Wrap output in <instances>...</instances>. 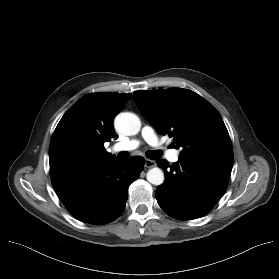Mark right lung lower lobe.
Returning a JSON list of instances; mask_svg holds the SVG:
<instances>
[{
	"instance_id": "right-lung-lower-lobe-1",
	"label": "right lung lower lobe",
	"mask_w": 279,
	"mask_h": 279,
	"mask_svg": "<svg viewBox=\"0 0 279 279\" xmlns=\"http://www.w3.org/2000/svg\"><path fill=\"white\" fill-rule=\"evenodd\" d=\"M145 160L133 156L114 159L88 171L52 181L55 192L78 220L101 225L124 210L129 185L143 170Z\"/></svg>"
}]
</instances>
